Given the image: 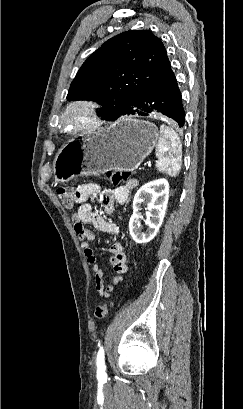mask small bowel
Instances as JSON below:
<instances>
[{
	"label": "small bowel",
	"instance_id": "1",
	"mask_svg": "<svg viewBox=\"0 0 243 409\" xmlns=\"http://www.w3.org/2000/svg\"><path fill=\"white\" fill-rule=\"evenodd\" d=\"M137 185L138 181L132 179L125 185L109 190L103 197L106 213L111 214L114 212L115 202L125 203L129 199L132 189L137 187ZM99 192L100 188L95 183L83 184L76 189L79 202H81L82 205L75 213H73L72 222L74 230L82 243L85 258L88 264L91 265L94 274L95 289L101 297L108 298L114 287L123 280V274L128 270V263L127 256L121 243H113L108 248V252L111 254L110 262L115 275L113 276L111 283L105 285L103 279L104 269L98 264L94 250L89 245V242L94 239V234L87 229L86 226H91L99 231L112 235H118L120 229L116 224L107 222L101 215L94 212L92 206L87 202L90 196L96 195Z\"/></svg>",
	"mask_w": 243,
	"mask_h": 409
}]
</instances>
